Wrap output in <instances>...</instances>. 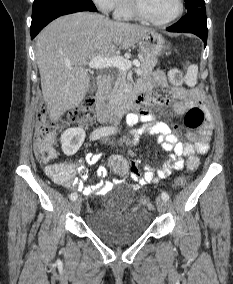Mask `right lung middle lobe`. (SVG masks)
<instances>
[{
	"label": "right lung middle lobe",
	"instance_id": "right-lung-middle-lobe-1",
	"mask_svg": "<svg viewBox=\"0 0 233 284\" xmlns=\"http://www.w3.org/2000/svg\"><path fill=\"white\" fill-rule=\"evenodd\" d=\"M57 7L96 8L92 0H34L32 17Z\"/></svg>",
	"mask_w": 233,
	"mask_h": 284
}]
</instances>
